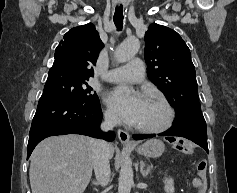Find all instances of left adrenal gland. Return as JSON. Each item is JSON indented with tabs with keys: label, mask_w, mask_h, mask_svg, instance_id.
Listing matches in <instances>:
<instances>
[{
	"label": "left adrenal gland",
	"mask_w": 237,
	"mask_h": 193,
	"mask_svg": "<svg viewBox=\"0 0 237 193\" xmlns=\"http://www.w3.org/2000/svg\"><path fill=\"white\" fill-rule=\"evenodd\" d=\"M140 172H141V174H142V176H143L144 178H146L147 175L151 172L150 167H147V168L145 169V163H144L143 160H141V162H140Z\"/></svg>",
	"instance_id": "1"
}]
</instances>
